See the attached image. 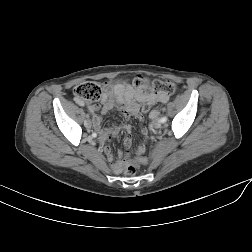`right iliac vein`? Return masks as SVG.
I'll use <instances>...</instances> for the list:
<instances>
[{
  "label": "right iliac vein",
  "instance_id": "right-iliac-vein-1",
  "mask_svg": "<svg viewBox=\"0 0 252 252\" xmlns=\"http://www.w3.org/2000/svg\"><path fill=\"white\" fill-rule=\"evenodd\" d=\"M84 125H85V127H86L87 129H90L91 126H92L91 120H86L85 123H84Z\"/></svg>",
  "mask_w": 252,
  "mask_h": 252
}]
</instances>
